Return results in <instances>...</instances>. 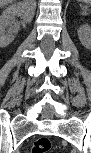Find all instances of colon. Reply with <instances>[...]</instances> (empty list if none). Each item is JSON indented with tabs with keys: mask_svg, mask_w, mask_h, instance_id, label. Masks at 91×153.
Here are the masks:
<instances>
[{
	"mask_svg": "<svg viewBox=\"0 0 91 153\" xmlns=\"http://www.w3.org/2000/svg\"><path fill=\"white\" fill-rule=\"evenodd\" d=\"M51 149V141L46 138L36 139L31 146V153H47Z\"/></svg>",
	"mask_w": 91,
	"mask_h": 153,
	"instance_id": "5ec220e1",
	"label": "colon"
}]
</instances>
